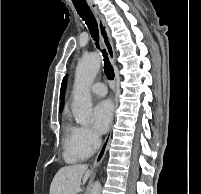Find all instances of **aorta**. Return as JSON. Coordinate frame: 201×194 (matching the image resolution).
<instances>
[{"label":"aorta","instance_id":"1","mask_svg":"<svg viewBox=\"0 0 201 194\" xmlns=\"http://www.w3.org/2000/svg\"><path fill=\"white\" fill-rule=\"evenodd\" d=\"M101 66V56L91 53L83 57L77 64L74 81V99L72 112L76 123L86 126L92 117V102L90 86L92 85ZM90 194H101V184L95 181Z\"/></svg>","mask_w":201,"mask_h":194}]
</instances>
